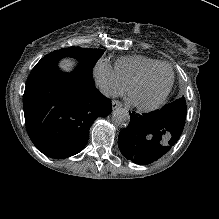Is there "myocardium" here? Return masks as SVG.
Wrapping results in <instances>:
<instances>
[{"label":"myocardium","mask_w":219,"mask_h":219,"mask_svg":"<svg viewBox=\"0 0 219 219\" xmlns=\"http://www.w3.org/2000/svg\"><path fill=\"white\" fill-rule=\"evenodd\" d=\"M161 66H166L168 67V69L171 72V81L170 84L168 86V89L164 92V94L155 102L149 103V104H142V103H138L136 101L133 100L132 98V91L133 89L139 84L141 83L143 80H145L146 78H148L149 76H151L155 71H157ZM175 81V74L174 71L172 69L171 66H169L168 64H164V63H158L156 66L151 67L147 70H145L144 72H142L140 75H138L129 85L128 90H127V99L130 103L131 106L135 107L136 109L140 110V111H149V110H153L157 107H159L160 105H162L166 99L168 98L173 84Z\"/></svg>","instance_id":"f54148a6"}]
</instances>
